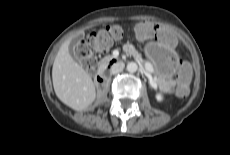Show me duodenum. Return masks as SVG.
Wrapping results in <instances>:
<instances>
[{"instance_id":"410a0bca","label":"duodenum","mask_w":230,"mask_h":155,"mask_svg":"<svg viewBox=\"0 0 230 155\" xmlns=\"http://www.w3.org/2000/svg\"><path fill=\"white\" fill-rule=\"evenodd\" d=\"M112 65V62L106 64L103 69H101L97 75H96V82L98 85H102L107 82L108 80V75H107V70L108 68Z\"/></svg>"}]
</instances>
